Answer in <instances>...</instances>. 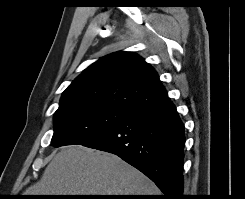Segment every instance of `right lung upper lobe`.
Returning a JSON list of instances; mask_svg holds the SVG:
<instances>
[{
  "label": "right lung upper lobe",
  "mask_w": 245,
  "mask_h": 199,
  "mask_svg": "<svg viewBox=\"0 0 245 199\" xmlns=\"http://www.w3.org/2000/svg\"><path fill=\"white\" fill-rule=\"evenodd\" d=\"M166 98L148 63L132 52H116L85 69L63 92L58 109L94 104L130 113Z\"/></svg>",
  "instance_id": "cb5924a9"
}]
</instances>
